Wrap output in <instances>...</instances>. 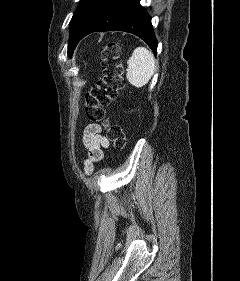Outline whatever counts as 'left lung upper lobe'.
Segmentation results:
<instances>
[{
  "label": "left lung upper lobe",
  "instance_id": "5c2ea615",
  "mask_svg": "<svg viewBox=\"0 0 240 281\" xmlns=\"http://www.w3.org/2000/svg\"><path fill=\"white\" fill-rule=\"evenodd\" d=\"M103 0H81L70 21L68 55L71 56L84 25Z\"/></svg>",
  "mask_w": 240,
  "mask_h": 281
}]
</instances>
